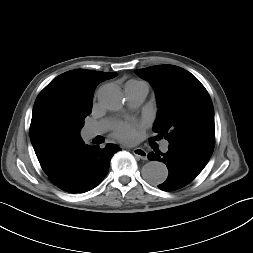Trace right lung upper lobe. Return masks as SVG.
Here are the masks:
<instances>
[{
  "instance_id": "cb5924a9",
  "label": "right lung upper lobe",
  "mask_w": 253,
  "mask_h": 253,
  "mask_svg": "<svg viewBox=\"0 0 253 253\" xmlns=\"http://www.w3.org/2000/svg\"><path fill=\"white\" fill-rule=\"evenodd\" d=\"M117 73L76 69L53 79L38 95L30 139L44 172L55 174L66 154L82 139L71 127L74 115L92 108L96 86Z\"/></svg>"
}]
</instances>
